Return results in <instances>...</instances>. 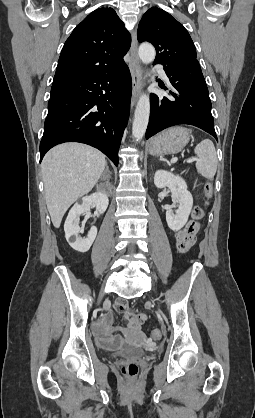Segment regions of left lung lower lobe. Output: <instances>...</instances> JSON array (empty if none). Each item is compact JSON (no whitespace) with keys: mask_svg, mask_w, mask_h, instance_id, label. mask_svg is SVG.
I'll list each match as a JSON object with an SVG mask.
<instances>
[{"mask_svg":"<svg viewBox=\"0 0 255 418\" xmlns=\"http://www.w3.org/2000/svg\"><path fill=\"white\" fill-rule=\"evenodd\" d=\"M164 71L174 89L169 92V97L151 94L146 138L174 125L189 124L203 129L217 140L208 88L199 62L164 66Z\"/></svg>","mask_w":255,"mask_h":418,"instance_id":"left-lung-lower-lobe-1","label":"left lung lower lobe"}]
</instances>
